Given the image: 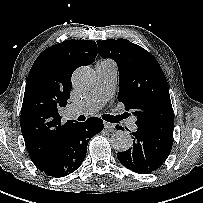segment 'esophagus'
<instances>
[{
  "mask_svg": "<svg viewBox=\"0 0 203 203\" xmlns=\"http://www.w3.org/2000/svg\"><path fill=\"white\" fill-rule=\"evenodd\" d=\"M104 128H106L110 131H114L115 124L104 121Z\"/></svg>",
  "mask_w": 203,
  "mask_h": 203,
  "instance_id": "34e87169",
  "label": "esophagus"
}]
</instances>
